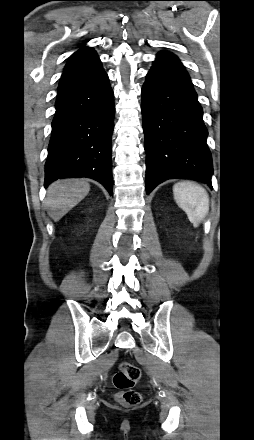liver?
<instances>
[{
  "instance_id": "1",
  "label": "liver",
  "mask_w": 254,
  "mask_h": 440,
  "mask_svg": "<svg viewBox=\"0 0 254 440\" xmlns=\"http://www.w3.org/2000/svg\"><path fill=\"white\" fill-rule=\"evenodd\" d=\"M90 191L84 179H64L52 183L47 190L46 205L55 220L61 219L69 210L82 201Z\"/></svg>"
}]
</instances>
